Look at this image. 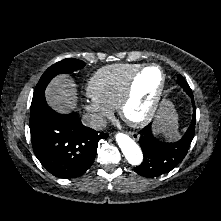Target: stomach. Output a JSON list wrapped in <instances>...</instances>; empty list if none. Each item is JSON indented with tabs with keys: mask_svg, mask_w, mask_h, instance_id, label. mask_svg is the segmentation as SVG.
Returning a JSON list of instances; mask_svg holds the SVG:
<instances>
[{
	"mask_svg": "<svg viewBox=\"0 0 221 221\" xmlns=\"http://www.w3.org/2000/svg\"><path fill=\"white\" fill-rule=\"evenodd\" d=\"M163 102H165V101H163ZM163 102H162V103H163ZM164 127H165V125H164V123L161 121L160 115H158V120H157L156 127H155L156 133L162 132V131L164 130Z\"/></svg>",
	"mask_w": 221,
	"mask_h": 221,
	"instance_id": "stomach-1",
	"label": "stomach"
}]
</instances>
